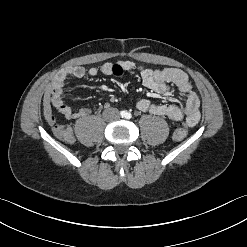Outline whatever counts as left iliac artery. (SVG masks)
Returning <instances> with one entry per match:
<instances>
[{
    "label": "left iliac artery",
    "instance_id": "left-iliac-artery-1",
    "mask_svg": "<svg viewBox=\"0 0 247 247\" xmlns=\"http://www.w3.org/2000/svg\"><path fill=\"white\" fill-rule=\"evenodd\" d=\"M127 119H130L132 117L131 113H126V116H125Z\"/></svg>",
    "mask_w": 247,
    "mask_h": 247
}]
</instances>
